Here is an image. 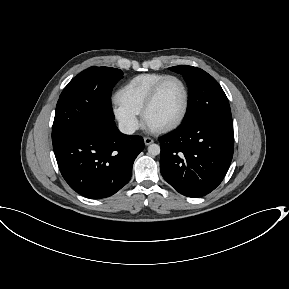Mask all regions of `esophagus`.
Wrapping results in <instances>:
<instances>
[{
	"label": "esophagus",
	"mask_w": 289,
	"mask_h": 289,
	"mask_svg": "<svg viewBox=\"0 0 289 289\" xmlns=\"http://www.w3.org/2000/svg\"><path fill=\"white\" fill-rule=\"evenodd\" d=\"M154 142V140L152 139V138H150V137H145L144 138V143H145V145H150V144H152Z\"/></svg>",
	"instance_id": "1"
}]
</instances>
